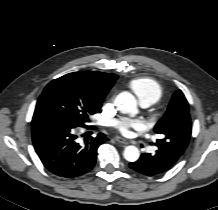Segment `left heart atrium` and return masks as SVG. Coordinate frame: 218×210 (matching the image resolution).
Segmentation results:
<instances>
[{
    "label": "left heart atrium",
    "instance_id": "left-heart-atrium-1",
    "mask_svg": "<svg viewBox=\"0 0 218 210\" xmlns=\"http://www.w3.org/2000/svg\"><path fill=\"white\" fill-rule=\"evenodd\" d=\"M115 126L119 130V132L123 135H129L131 130L141 131L145 129V124L141 120L125 119L116 122Z\"/></svg>",
    "mask_w": 218,
    "mask_h": 210
}]
</instances>
